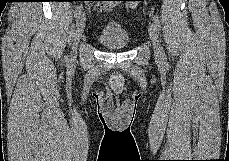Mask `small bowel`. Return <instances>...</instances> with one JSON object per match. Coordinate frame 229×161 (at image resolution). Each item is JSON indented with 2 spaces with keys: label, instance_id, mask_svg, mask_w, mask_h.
Instances as JSON below:
<instances>
[{
  "label": "small bowel",
  "instance_id": "small-bowel-1",
  "mask_svg": "<svg viewBox=\"0 0 229 161\" xmlns=\"http://www.w3.org/2000/svg\"><path fill=\"white\" fill-rule=\"evenodd\" d=\"M117 1H104V8L106 10H111L112 8L116 7Z\"/></svg>",
  "mask_w": 229,
  "mask_h": 161
}]
</instances>
